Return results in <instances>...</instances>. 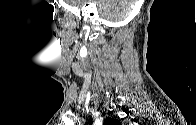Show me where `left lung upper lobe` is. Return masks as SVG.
I'll list each match as a JSON object with an SVG mask.
<instances>
[{"label":"left lung upper lobe","instance_id":"5c2ea615","mask_svg":"<svg viewBox=\"0 0 196 125\" xmlns=\"http://www.w3.org/2000/svg\"><path fill=\"white\" fill-rule=\"evenodd\" d=\"M105 124L107 125H121L120 122L116 119H111V118H107L105 121H104Z\"/></svg>","mask_w":196,"mask_h":125}]
</instances>
